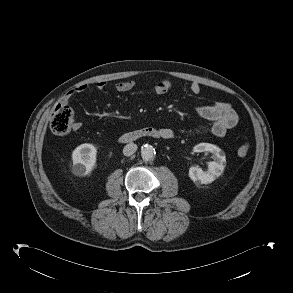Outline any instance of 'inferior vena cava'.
<instances>
[{
  "instance_id": "602c4592",
  "label": "inferior vena cava",
  "mask_w": 293,
  "mask_h": 293,
  "mask_svg": "<svg viewBox=\"0 0 293 293\" xmlns=\"http://www.w3.org/2000/svg\"><path fill=\"white\" fill-rule=\"evenodd\" d=\"M137 150V145L134 144L133 142H130L129 144L125 145V147L123 148V154L125 156H131L132 154H134Z\"/></svg>"
}]
</instances>
